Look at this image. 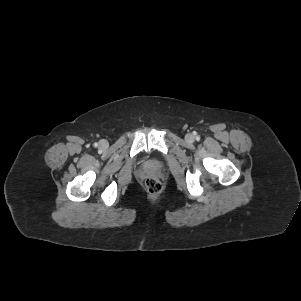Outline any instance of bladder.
I'll return each instance as SVG.
<instances>
[{
    "label": "bladder",
    "mask_w": 301,
    "mask_h": 301,
    "mask_svg": "<svg viewBox=\"0 0 301 301\" xmlns=\"http://www.w3.org/2000/svg\"><path fill=\"white\" fill-rule=\"evenodd\" d=\"M151 165L154 166V167H157V166H158V163H157L156 161H152V162H151Z\"/></svg>",
    "instance_id": "obj_1"
}]
</instances>
